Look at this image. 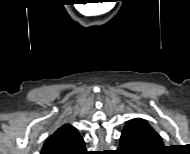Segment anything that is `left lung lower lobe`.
I'll use <instances>...</instances> for the list:
<instances>
[{"label": "left lung lower lobe", "mask_w": 190, "mask_h": 154, "mask_svg": "<svg viewBox=\"0 0 190 154\" xmlns=\"http://www.w3.org/2000/svg\"><path fill=\"white\" fill-rule=\"evenodd\" d=\"M163 145L160 135L143 119L128 121L120 138V151L126 154H145Z\"/></svg>", "instance_id": "left-lung-lower-lobe-1"}]
</instances>
